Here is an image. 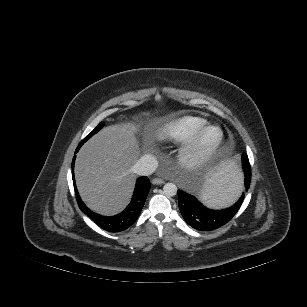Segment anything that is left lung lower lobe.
Masks as SVG:
<instances>
[{"label":"left lung lower lobe","mask_w":307,"mask_h":307,"mask_svg":"<svg viewBox=\"0 0 307 307\" xmlns=\"http://www.w3.org/2000/svg\"><path fill=\"white\" fill-rule=\"evenodd\" d=\"M242 165L245 182L242 195L239 200L229 208L223 210H212L206 208L195 196L186 191H179V209L184 220L194 229L200 231H211L229 222L239 210L251 182V167L248 156L242 154Z\"/></svg>","instance_id":"1"}]
</instances>
